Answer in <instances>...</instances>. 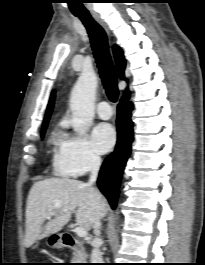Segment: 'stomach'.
<instances>
[{
  "label": "stomach",
  "mask_w": 205,
  "mask_h": 265,
  "mask_svg": "<svg viewBox=\"0 0 205 265\" xmlns=\"http://www.w3.org/2000/svg\"><path fill=\"white\" fill-rule=\"evenodd\" d=\"M46 244L53 248L59 249L63 247L62 235L59 233H52L47 236Z\"/></svg>",
  "instance_id": "0dacf381"
}]
</instances>
